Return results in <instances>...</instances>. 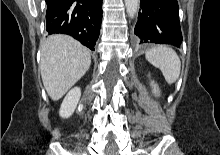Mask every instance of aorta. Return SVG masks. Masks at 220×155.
I'll list each match as a JSON object with an SVG mask.
<instances>
[{"mask_svg":"<svg viewBox=\"0 0 220 155\" xmlns=\"http://www.w3.org/2000/svg\"><path fill=\"white\" fill-rule=\"evenodd\" d=\"M139 0H125V7L130 18H134L139 9Z\"/></svg>","mask_w":220,"mask_h":155,"instance_id":"1","label":"aorta"}]
</instances>
